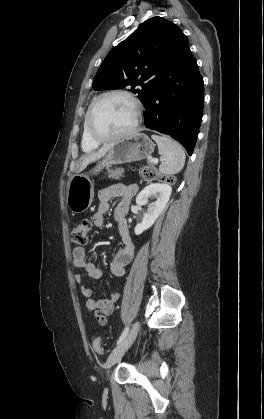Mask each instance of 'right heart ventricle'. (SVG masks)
Wrapping results in <instances>:
<instances>
[{"label":"right heart ventricle","instance_id":"right-heart-ventricle-1","mask_svg":"<svg viewBox=\"0 0 264 419\" xmlns=\"http://www.w3.org/2000/svg\"><path fill=\"white\" fill-rule=\"evenodd\" d=\"M87 112H88V110H87ZM87 112H86V114L84 116V121H83V131H82V138H81V147H82V150L84 152H91V151H93V150H95V149L98 148L99 143L93 141L89 137V135L87 133V129H86V116H87Z\"/></svg>","mask_w":264,"mask_h":419}]
</instances>
